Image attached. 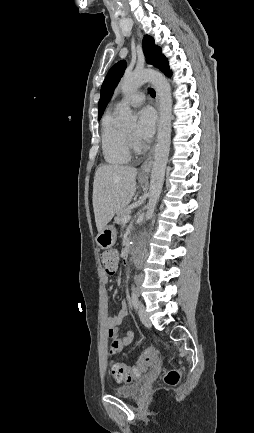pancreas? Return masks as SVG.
<instances>
[{"mask_svg":"<svg viewBox=\"0 0 254 433\" xmlns=\"http://www.w3.org/2000/svg\"><path fill=\"white\" fill-rule=\"evenodd\" d=\"M130 213H131V208L129 207V206H126V207H124V208H122L121 210H119L118 212H117V214H116V217H115V222L117 223V224H124V222H123V218L125 217V216H128V215H130Z\"/></svg>","mask_w":254,"mask_h":433,"instance_id":"cf45deb5","label":"pancreas"}]
</instances>
